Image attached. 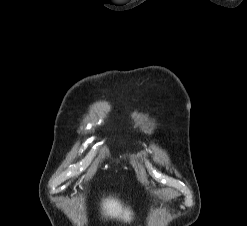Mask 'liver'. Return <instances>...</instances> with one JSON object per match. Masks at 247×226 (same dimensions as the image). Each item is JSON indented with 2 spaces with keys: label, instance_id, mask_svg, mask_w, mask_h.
<instances>
[{
  "label": "liver",
  "instance_id": "1",
  "mask_svg": "<svg viewBox=\"0 0 247 226\" xmlns=\"http://www.w3.org/2000/svg\"><path fill=\"white\" fill-rule=\"evenodd\" d=\"M102 209L105 216L111 218H119L125 222H130L132 213L128 208H124L121 203L114 198H107L103 200Z\"/></svg>",
  "mask_w": 247,
  "mask_h": 226
}]
</instances>
